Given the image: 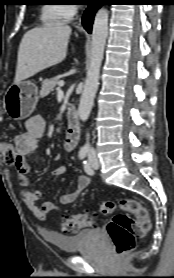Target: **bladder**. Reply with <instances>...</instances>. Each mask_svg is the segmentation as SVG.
<instances>
[{
    "label": "bladder",
    "instance_id": "31cf9c89",
    "mask_svg": "<svg viewBox=\"0 0 174 278\" xmlns=\"http://www.w3.org/2000/svg\"><path fill=\"white\" fill-rule=\"evenodd\" d=\"M100 237L98 228L83 229L73 235L48 233L47 240L63 252H75L97 241Z\"/></svg>",
    "mask_w": 174,
    "mask_h": 278
}]
</instances>
